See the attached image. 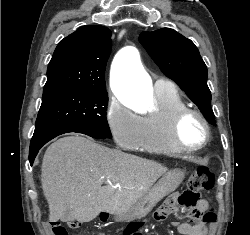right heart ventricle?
Instances as JSON below:
<instances>
[{
	"label": "right heart ventricle",
	"instance_id": "obj_1",
	"mask_svg": "<svg viewBox=\"0 0 250 235\" xmlns=\"http://www.w3.org/2000/svg\"><path fill=\"white\" fill-rule=\"evenodd\" d=\"M154 109L141 118L142 134L137 149L144 152L179 155L182 153L170 137L171 117L180 108L186 106L184 100L172 87L154 91Z\"/></svg>",
	"mask_w": 250,
	"mask_h": 235
}]
</instances>
